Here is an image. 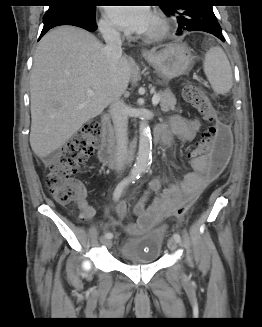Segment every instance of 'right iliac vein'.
Returning <instances> with one entry per match:
<instances>
[{
    "instance_id": "obj_1",
    "label": "right iliac vein",
    "mask_w": 262,
    "mask_h": 327,
    "mask_svg": "<svg viewBox=\"0 0 262 327\" xmlns=\"http://www.w3.org/2000/svg\"><path fill=\"white\" fill-rule=\"evenodd\" d=\"M102 243L104 244L105 247L111 248L112 247V240L110 238H102Z\"/></svg>"
}]
</instances>
